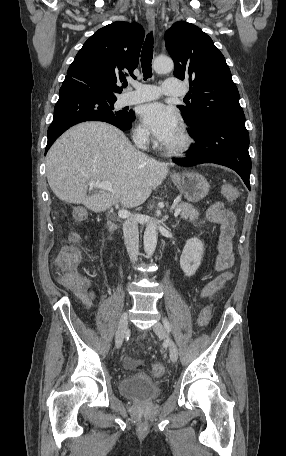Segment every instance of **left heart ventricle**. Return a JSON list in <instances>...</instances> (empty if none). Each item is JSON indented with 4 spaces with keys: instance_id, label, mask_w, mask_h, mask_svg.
<instances>
[{
    "instance_id": "left-heart-ventricle-1",
    "label": "left heart ventricle",
    "mask_w": 286,
    "mask_h": 456,
    "mask_svg": "<svg viewBox=\"0 0 286 456\" xmlns=\"http://www.w3.org/2000/svg\"><path fill=\"white\" fill-rule=\"evenodd\" d=\"M178 142H179V133L170 142H168L166 145H175Z\"/></svg>"
}]
</instances>
